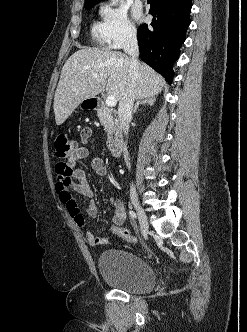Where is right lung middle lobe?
I'll return each instance as SVG.
<instances>
[{
	"mask_svg": "<svg viewBox=\"0 0 247 332\" xmlns=\"http://www.w3.org/2000/svg\"><path fill=\"white\" fill-rule=\"evenodd\" d=\"M96 4H92V5H85L86 9H91L92 7H94Z\"/></svg>",
	"mask_w": 247,
	"mask_h": 332,
	"instance_id": "1",
	"label": "right lung middle lobe"
}]
</instances>
